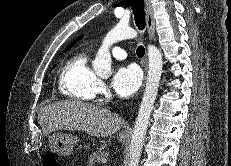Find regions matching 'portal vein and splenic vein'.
Listing matches in <instances>:
<instances>
[{
  "mask_svg": "<svg viewBox=\"0 0 231 166\" xmlns=\"http://www.w3.org/2000/svg\"><path fill=\"white\" fill-rule=\"evenodd\" d=\"M102 163L106 164L107 163V159H103Z\"/></svg>",
  "mask_w": 231,
  "mask_h": 166,
  "instance_id": "portal-vein-and-splenic-vein-1",
  "label": "portal vein and splenic vein"
}]
</instances>
